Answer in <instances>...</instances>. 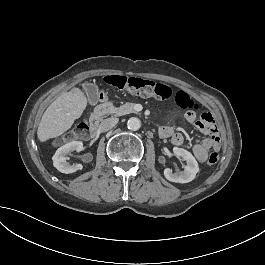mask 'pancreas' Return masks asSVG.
Segmentation results:
<instances>
[{
  "label": "pancreas",
  "mask_w": 265,
  "mask_h": 265,
  "mask_svg": "<svg viewBox=\"0 0 265 265\" xmlns=\"http://www.w3.org/2000/svg\"><path fill=\"white\" fill-rule=\"evenodd\" d=\"M134 103H125L121 105L120 107H114L113 105H108V110L110 114H113L114 116H122L130 113H136L134 109Z\"/></svg>",
  "instance_id": "cf45deb5"
}]
</instances>
